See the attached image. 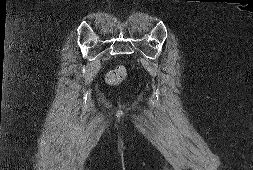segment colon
<instances>
[{
	"instance_id": "colon-1",
	"label": "colon",
	"mask_w": 253,
	"mask_h": 170,
	"mask_svg": "<svg viewBox=\"0 0 253 170\" xmlns=\"http://www.w3.org/2000/svg\"><path fill=\"white\" fill-rule=\"evenodd\" d=\"M126 73V68L124 66H118L107 74L106 81L110 85H116L124 79Z\"/></svg>"
}]
</instances>
